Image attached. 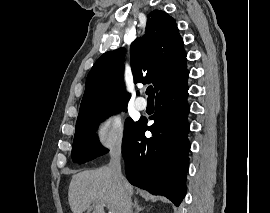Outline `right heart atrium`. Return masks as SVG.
I'll list each match as a JSON object with an SVG mask.
<instances>
[{"instance_id":"obj_1","label":"right heart atrium","mask_w":270,"mask_h":213,"mask_svg":"<svg viewBox=\"0 0 270 213\" xmlns=\"http://www.w3.org/2000/svg\"><path fill=\"white\" fill-rule=\"evenodd\" d=\"M95 140L98 146L111 153L119 152L124 145V126L118 113H106L97 124Z\"/></svg>"}]
</instances>
